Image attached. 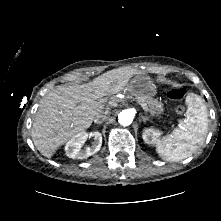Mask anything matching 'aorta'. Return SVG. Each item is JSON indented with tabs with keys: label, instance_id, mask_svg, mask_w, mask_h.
Segmentation results:
<instances>
[{
	"label": "aorta",
	"instance_id": "1",
	"mask_svg": "<svg viewBox=\"0 0 221 221\" xmlns=\"http://www.w3.org/2000/svg\"><path fill=\"white\" fill-rule=\"evenodd\" d=\"M134 118V112L131 109H125L118 115V121L123 126H128L132 123Z\"/></svg>",
	"mask_w": 221,
	"mask_h": 221
}]
</instances>
